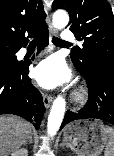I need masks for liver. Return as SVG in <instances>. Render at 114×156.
I'll return each mask as SVG.
<instances>
[{"instance_id": "obj_1", "label": "liver", "mask_w": 114, "mask_h": 156, "mask_svg": "<svg viewBox=\"0 0 114 156\" xmlns=\"http://www.w3.org/2000/svg\"><path fill=\"white\" fill-rule=\"evenodd\" d=\"M32 125L16 116L0 115V156H9L28 142Z\"/></svg>"}]
</instances>
